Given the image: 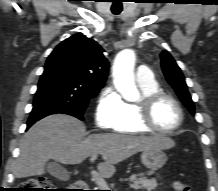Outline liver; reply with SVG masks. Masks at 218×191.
Segmentation results:
<instances>
[{
	"instance_id": "1",
	"label": "liver",
	"mask_w": 218,
	"mask_h": 191,
	"mask_svg": "<svg viewBox=\"0 0 218 191\" xmlns=\"http://www.w3.org/2000/svg\"><path fill=\"white\" fill-rule=\"evenodd\" d=\"M85 125L78 119L55 114L34 124L23 136L15 165V177L43 175L45 164L55 159L63 164H80L101 154L99 173L106 178L115 173V164L150 148L170 149L175 143L163 135L131 136L92 134L85 138Z\"/></svg>"
}]
</instances>
